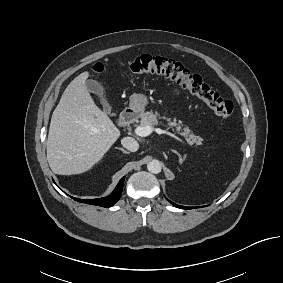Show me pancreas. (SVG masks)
<instances>
[{
  "label": "pancreas",
  "instance_id": "cf45deb5",
  "mask_svg": "<svg viewBox=\"0 0 283 283\" xmlns=\"http://www.w3.org/2000/svg\"><path fill=\"white\" fill-rule=\"evenodd\" d=\"M140 123L142 126H149L151 128H154V126H157L159 123L158 118H161L158 112L153 113L145 112L140 115ZM166 121H168L169 128L175 127V130L178 134L183 136L185 140L190 144H196L201 145L203 138L200 136H196L188 126H184L181 120H178L176 118H164ZM174 130V129H173Z\"/></svg>",
  "mask_w": 283,
  "mask_h": 283
}]
</instances>
